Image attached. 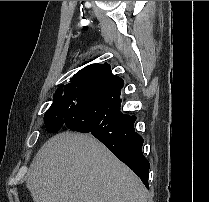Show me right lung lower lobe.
Returning <instances> with one entry per match:
<instances>
[{
    "label": "right lung lower lobe",
    "instance_id": "1",
    "mask_svg": "<svg viewBox=\"0 0 209 202\" xmlns=\"http://www.w3.org/2000/svg\"><path fill=\"white\" fill-rule=\"evenodd\" d=\"M123 85V80L111 72L92 79L80 91L78 111L64 127L92 134L149 188L150 165L142 153L143 138L134 129L136 117L120 111Z\"/></svg>",
    "mask_w": 209,
    "mask_h": 202
}]
</instances>
